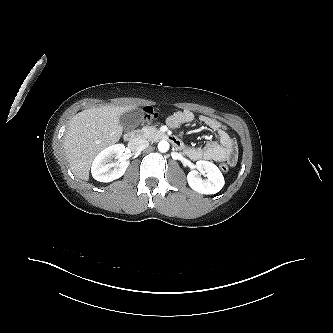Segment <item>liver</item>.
I'll return each instance as SVG.
<instances>
[{
    "label": "liver",
    "mask_w": 333,
    "mask_h": 333,
    "mask_svg": "<svg viewBox=\"0 0 333 333\" xmlns=\"http://www.w3.org/2000/svg\"><path fill=\"white\" fill-rule=\"evenodd\" d=\"M135 106H101L79 112L69 122L64 148L74 175L89 179L91 164L106 146L119 141L123 127L120 116Z\"/></svg>",
    "instance_id": "liver-1"
}]
</instances>
